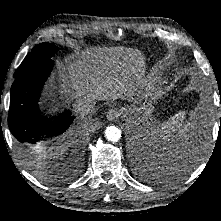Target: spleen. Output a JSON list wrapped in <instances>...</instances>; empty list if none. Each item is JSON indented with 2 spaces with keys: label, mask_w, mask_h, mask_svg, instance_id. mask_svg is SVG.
Wrapping results in <instances>:
<instances>
[{
  "label": "spleen",
  "mask_w": 221,
  "mask_h": 221,
  "mask_svg": "<svg viewBox=\"0 0 221 221\" xmlns=\"http://www.w3.org/2000/svg\"><path fill=\"white\" fill-rule=\"evenodd\" d=\"M186 112L180 111L170 118L159 124L156 129V134L159 135L164 144L176 146L175 141L179 138L187 137L190 128L193 124L189 121L184 122Z\"/></svg>",
  "instance_id": "spleen-1"
}]
</instances>
